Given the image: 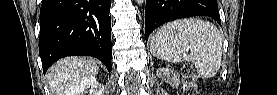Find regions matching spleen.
<instances>
[{
	"label": "spleen",
	"mask_w": 277,
	"mask_h": 95,
	"mask_svg": "<svg viewBox=\"0 0 277 95\" xmlns=\"http://www.w3.org/2000/svg\"><path fill=\"white\" fill-rule=\"evenodd\" d=\"M150 51L167 62L191 61L200 76L211 78L221 66L222 36L210 22L185 18L162 26L151 38Z\"/></svg>",
	"instance_id": "spleen-1"
}]
</instances>
